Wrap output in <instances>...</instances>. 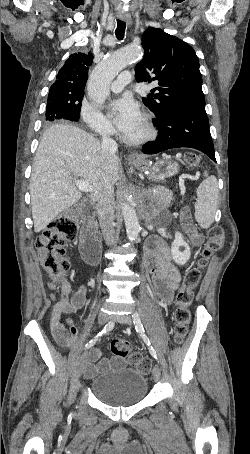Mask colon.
Returning a JSON list of instances; mask_svg holds the SVG:
<instances>
[{"mask_svg": "<svg viewBox=\"0 0 250 454\" xmlns=\"http://www.w3.org/2000/svg\"><path fill=\"white\" fill-rule=\"evenodd\" d=\"M186 159L191 166H197L199 163L198 156L192 152L186 154ZM77 234L78 215L74 210H68L51 222L35 242L42 267L50 279L51 288H60L62 293L68 286L64 277L70 267V261L65 256V245L74 241ZM224 241L225 232L222 227L210 228L197 267L189 269L183 277L174 300L173 319L176 342H181L188 333L192 317L190 306L193 301L194 290L201 278V270L207 265L209 259L222 249ZM111 351L115 356L128 358L130 364L140 372L146 373L151 370V361L138 353L132 352L131 346L124 340H113Z\"/></svg>", "mask_w": 250, "mask_h": 454, "instance_id": "colon-1", "label": "colon"}]
</instances>
